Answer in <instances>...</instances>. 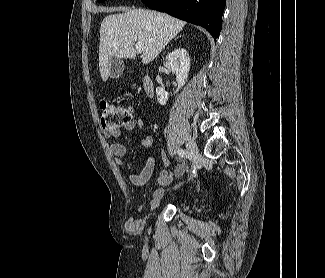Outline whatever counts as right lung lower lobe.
Segmentation results:
<instances>
[{"label":"right lung lower lobe","mask_w":325,"mask_h":278,"mask_svg":"<svg viewBox=\"0 0 325 278\" xmlns=\"http://www.w3.org/2000/svg\"><path fill=\"white\" fill-rule=\"evenodd\" d=\"M148 7L204 27L215 39L221 31L225 0H141Z\"/></svg>","instance_id":"1"}]
</instances>
